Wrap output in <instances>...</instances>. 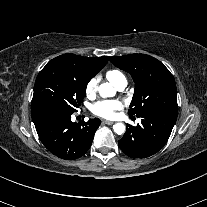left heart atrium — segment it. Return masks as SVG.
<instances>
[{
	"label": "left heart atrium",
	"instance_id": "39dd6f15",
	"mask_svg": "<svg viewBox=\"0 0 207 207\" xmlns=\"http://www.w3.org/2000/svg\"><path fill=\"white\" fill-rule=\"evenodd\" d=\"M121 108L122 104L119 101H101L92 107V112L97 116L108 119L113 117L116 111L120 110Z\"/></svg>",
	"mask_w": 207,
	"mask_h": 207
}]
</instances>
